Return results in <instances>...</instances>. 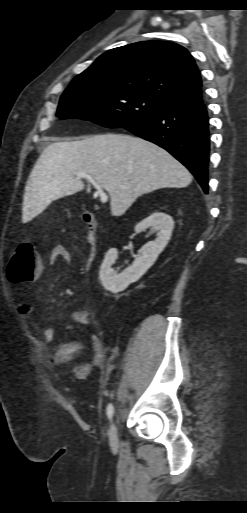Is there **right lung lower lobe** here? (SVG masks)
I'll return each mask as SVG.
<instances>
[{"instance_id":"1","label":"right lung lower lobe","mask_w":247,"mask_h":513,"mask_svg":"<svg viewBox=\"0 0 247 513\" xmlns=\"http://www.w3.org/2000/svg\"><path fill=\"white\" fill-rule=\"evenodd\" d=\"M202 99L174 106L124 129L166 149L194 175L208 193L209 130Z\"/></svg>"}]
</instances>
